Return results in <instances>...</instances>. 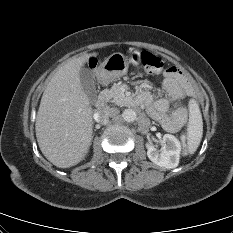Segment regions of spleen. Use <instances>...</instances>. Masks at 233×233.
Returning a JSON list of instances; mask_svg holds the SVG:
<instances>
[{
	"mask_svg": "<svg viewBox=\"0 0 233 233\" xmlns=\"http://www.w3.org/2000/svg\"><path fill=\"white\" fill-rule=\"evenodd\" d=\"M203 135V121L198 104L191 100L189 103V121L187 125V145L188 154H194L197 150Z\"/></svg>",
	"mask_w": 233,
	"mask_h": 233,
	"instance_id": "obj_1",
	"label": "spleen"
}]
</instances>
